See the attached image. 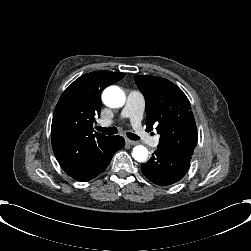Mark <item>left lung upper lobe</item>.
I'll return each mask as SVG.
<instances>
[{"label":"left lung upper lobe","instance_id":"5c2ea615","mask_svg":"<svg viewBox=\"0 0 251 251\" xmlns=\"http://www.w3.org/2000/svg\"><path fill=\"white\" fill-rule=\"evenodd\" d=\"M134 79L146 99V130L156 126L161 135L158 149L191 157L198 134L186 95L164 78L135 75Z\"/></svg>","mask_w":251,"mask_h":251}]
</instances>
